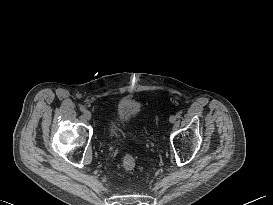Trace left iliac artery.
I'll use <instances>...</instances> for the list:
<instances>
[{"mask_svg":"<svg viewBox=\"0 0 273 205\" xmlns=\"http://www.w3.org/2000/svg\"><path fill=\"white\" fill-rule=\"evenodd\" d=\"M176 117H177V118H180V117H181V112H178V113L176 114Z\"/></svg>","mask_w":273,"mask_h":205,"instance_id":"left-iliac-artery-1","label":"left iliac artery"}]
</instances>
